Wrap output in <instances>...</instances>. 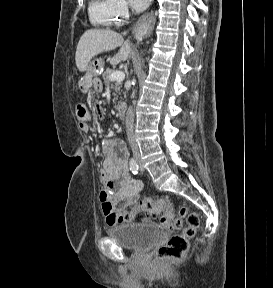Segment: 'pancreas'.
Here are the masks:
<instances>
[{
    "mask_svg": "<svg viewBox=\"0 0 273 288\" xmlns=\"http://www.w3.org/2000/svg\"><path fill=\"white\" fill-rule=\"evenodd\" d=\"M114 72L112 69H106V71L103 73L102 78L105 85H109L110 83V75ZM111 89L114 91L113 95L116 97L115 99H118L120 96V90H121V82H115L114 85L111 86ZM117 108V106H115Z\"/></svg>",
    "mask_w": 273,
    "mask_h": 288,
    "instance_id": "obj_1",
    "label": "pancreas"
}]
</instances>
